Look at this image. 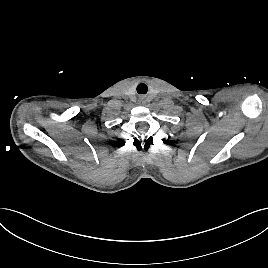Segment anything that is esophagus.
<instances>
[{"instance_id":"obj_1","label":"esophagus","mask_w":268,"mask_h":268,"mask_svg":"<svg viewBox=\"0 0 268 268\" xmlns=\"http://www.w3.org/2000/svg\"><path fill=\"white\" fill-rule=\"evenodd\" d=\"M138 103H139L140 105H144V104H145V97H144V96H141V97L139 98V100H138Z\"/></svg>"}]
</instances>
